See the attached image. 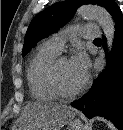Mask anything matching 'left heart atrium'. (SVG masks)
Returning <instances> with one entry per match:
<instances>
[{"label":"left heart atrium","instance_id":"39dd6f15","mask_svg":"<svg viewBox=\"0 0 123 130\" xmlns=\"http://www.w3.org/2000/svg\"><path fill=\"white\" fill-rule=\"evenodd\" d=\"M89 59L85 52L78 50L70 60V67L74 75L84 83L89 71Z\"/></svg>","mask_w":123,"mask_h":130}]
</instances>
